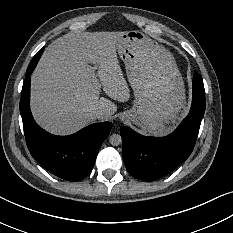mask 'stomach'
<instances>
[{
	"instance_id": "0dacf381",
	"label": "stomach",
	"mask_w": 233,
	"mask_h": 233,
	"mask_svg": "<svg viewBox=\"0 0 233 233\" xmlns=\"http://www.w3.org/2000/svg\"><path fill=\"white\" fill-rule=\"evenodd\" d=\"M115 47L135 97L132 108L121 114L122 120L132 121L145 134H167L187 112L173 55L138 30L126 31Z\"/></svg>"
}]
</instances>
